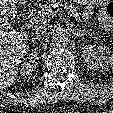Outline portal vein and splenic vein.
Listing matches in <instances>:
<instances>
[{
  "label": "portal vein and splenic vein",
  "instance_id": "18ae733b",
  "mask_svg": "<svg viewBox=\"0 0 113 113\" xmlns=\"http://www.w3.org/2000/svg\"><path fill=\"white\" fill-rule=\"evenodd\" d=\"M41 16H42V15H38V16L32 17V18L30 19V23H31L32 25L37 24L38 21H39V19H41Z\"/></svg>",
  "mask_w": 113,
  "mask_h": 113
}]
</instances>
